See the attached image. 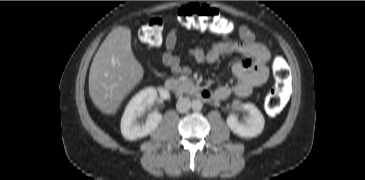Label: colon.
Segmentation results:
<instances>
[{
  "label": "colon",
  "mask_w": 365,
  "mask_h": 180,
  "mask_svg": "<svg viewBox=\"0 0 365 180\" xmlns=\"http://www.w3.org/2000/svg\"><path fill=\"white\" fill-rule=\"evenodd\" d=\"M179 28H198L208 30L217 36L230 31V23L220 16L217 10L207 5L190 4L180 8L176 16ZM166 21L161 17L149 19L139 32L140 40L151 47H159L163 42ZM275 85L267 96V106L271 113L278 114L284 108V86L288 78L285 60L277 58L273 63Z\"/></svg>",
  "instance_id": "5ec220e1"
}]
</instances>
